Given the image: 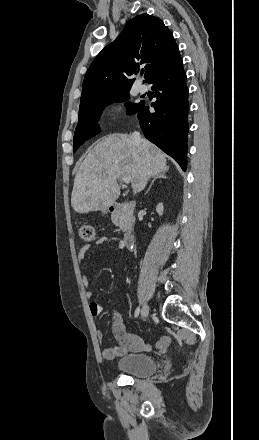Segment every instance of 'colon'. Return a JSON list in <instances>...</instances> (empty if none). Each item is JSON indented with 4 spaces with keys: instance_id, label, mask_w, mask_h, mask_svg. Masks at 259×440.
Listing matches in <instances>:
<instances>
[{
    "instance_id": "colon-1",
    "label": "colon",
    "mask_w": 259,
    "mask_h": 440,
    "mask_svg": "<svg viewBox=\"0 0 259 440\" xmlns=\"http://www.w3.org/2000/svg\"><path fill=\"white\" fill-rule=\"evenodd\" d=\"M79 238L83 242H92L96 238L94 226L89 222H84L79 227Z\"/></svg>"
}]
</instances>
